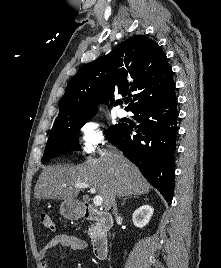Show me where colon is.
I'll return each mask as SVG.
<instances>
[{"mask_svg":"<svg viewBox=\"0 0 221 268\" xmlns=\"http://www.w3.org/2000/svg\"><path fill=\"white\" fill-rule=\"evenodd\" d=\"M41 222L42 224L48 228L49 230H54L55 229V225L54 222L52 220V218L50 217V215L46 212H43L40 216Z\"/></svg>","mask_w":221,"mask_h":268,"instance_id":"obj_1","label":"colon"}]
</instances>
